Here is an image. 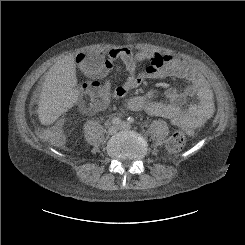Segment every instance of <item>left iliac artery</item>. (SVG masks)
Listing matches in <instances>:
<instances>
[{"label":"left iliac artery","instance_id":"left-iliac-artery-1","mask_svg":"<svg viewBox=\"0 0 245 245\" xmlns=\"http://www.w3.org/2000/svg\"><path fill=\"white\" fill-rule=\"evenodd\" d=\"M127 121H128V123L132 124L135 122V119L133 117H128Z\"/></svg>","mask_w":245,"mask_h":245}]
</instances>
